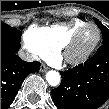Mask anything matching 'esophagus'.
<instances>
[{
	"instance_id": "obj_1",
	"label": "esophagus",
	"mask_w": 109,
	"mask_h": 109,
	"mask_svg": "<svg viewBox=\"0 0 109 109\" xmlns=\"http://www.w3.org/2000/svg\"><path fill=\"white\" fill-rule=\"evenodd\" d=\"M48 69L49 68L46 65L42 64L40 67V72H46Z\"/></svg>"
}]
</instances>
